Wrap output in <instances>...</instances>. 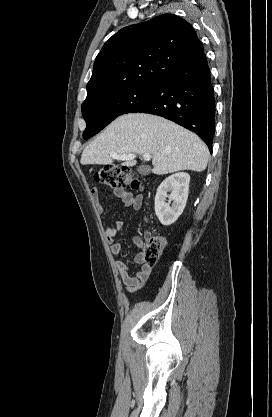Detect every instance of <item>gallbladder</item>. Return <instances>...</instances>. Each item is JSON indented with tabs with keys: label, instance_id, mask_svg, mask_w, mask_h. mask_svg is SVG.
I'll use <instances>...</instances> for the list:
<instances>
[{
	"label": "gallbladder",
	"instance_id": "gallbladder-1",
	"mask_svg": "<svg viewBox=\"0 0 272 417\" xmlns=\"http://www.w3.org/2000/svg\"><path fill=\"white\" fill-rule=\"evenodd\" d=\"M150 171H151V169H150V167H149V166H146V165H140V166L138 167V172H139L141 175H148V174L150 173Z\"/></svg>",
	"mask_w": 272,
	"mask_h": 417
}]
</instances>
